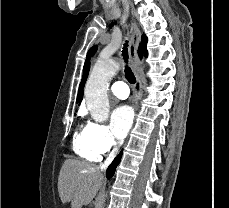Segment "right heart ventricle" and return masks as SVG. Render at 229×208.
<instances>
[{
    "label": "right heart ventricle",
    "mask_w": 229,
    "mask_h": 208,
    "mask_svg": "<svg viewBox=\"0 0 229 208\" xmlns=\"http://www.w3.org/2000/svg\"><path fill=\"white\" fill-rule=\"evenodd\" d=\"M73 149L81 157L94 161L99 158V154L91 148L85 138V129L82 132L76 133L73 138Z\"/></svg>",
    "instance_id": "1"
}]
</instances>
